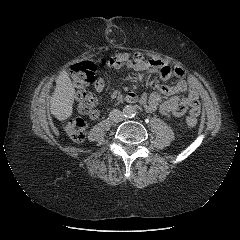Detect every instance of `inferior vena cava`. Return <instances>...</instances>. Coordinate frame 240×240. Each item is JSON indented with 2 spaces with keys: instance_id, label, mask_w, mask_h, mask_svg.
<instances>
[{
  "instance_id": "obj_1",
  "label": "inferior vena cava",
  "mask_w": 240,
  "mask_h": 240,
  "mask_svg": "<svg viewBox=\"0 0 240 240\" xmlns=\"http://www.w3.org/2000/svg\"><path fill=\"white\" fill-rule=\"evenodd\" d=\"M110 119L116 123L121 122L124 120V114L122 111L114 109L110 112Z\"/></svg>"
}]
</instances>
